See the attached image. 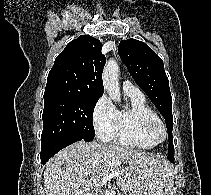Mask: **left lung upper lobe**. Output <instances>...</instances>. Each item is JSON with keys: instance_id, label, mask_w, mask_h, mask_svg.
Returning <instances> with one entry per match:
<instances>
[{"instance_id": "5c2ea615", "label": "left lung upper lobe", "mask_w": 211, "mask_h": 195, "mask_svg": "<svg viewBox=\"0 0 211 195\" xmlns=\"http://www.w3.org/2000/svg\"><path fill=\"white\" fill-rule=\"evenodd\" d=\"M118 53L136 84L147 94L166 121L169 140L167 157L171 161L174 159L172 97L163 61L144 42L132 38L119 43Z\"/></svg>"}]
</instances>
